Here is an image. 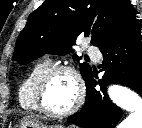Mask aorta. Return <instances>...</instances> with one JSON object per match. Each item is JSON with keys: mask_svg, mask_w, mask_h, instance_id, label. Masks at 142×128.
Wrapping results in <instances>:
<instances>
[{"mask_svg": "<svg viewBox=\"0 0 142 128\" xmlns=\"http://www.w3.org/2000/svg\"><path fill=\"white\" fill-rule=\"evenodd\" d=\"M108 95L115 105L130 112L118 128H142V98L137 93L120 85H111Z\"/></svg>", "mask_w": 142, "mask_h": 128, "instance_id": "aorta-1", "label": "aorta"}]
</instances>
